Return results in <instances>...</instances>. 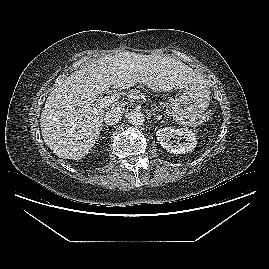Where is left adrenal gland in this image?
I'll return each instance as SVG.
<instances>
[{"label": "left adrenal gland", "mask_w": 269, "mask_h": 269, "mask_svg": "<svg viewBox=\"0 0 269 269\" xmlns=\"http://www.w3.org/2000/svg\"><path fill=\"white\" fill-rule=\"evenodd\" d=\"M162 119V117L161 116H156V120H161Z\"/></svg>", "instance_id": "obj_1"}]
</instances>
